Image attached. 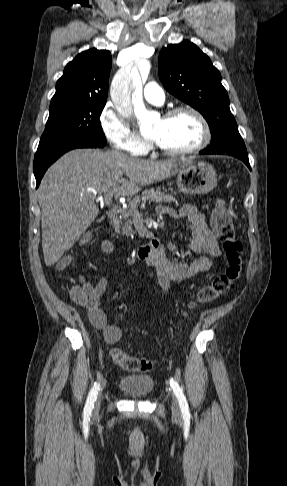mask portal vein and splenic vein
<instances>
[{"instance_id":"obj_1","label":"portal vein and splenic vein","mask_w":287,"mask_h":486,"mask_svg":"<svg viewBox=\"0 0 287 486\" xmlns=\"http://www.w3.org/2000/svg\"><path fill=\"white\" fill-rule=\"evenodd\" d=\"M112 197H113V192H112V191H108V192H106V193H105V195H104V198H103L104 203H105L106 205H111V204H112ZM99 200H100V199H97V201H99ZM136 213H137V212H136Z\"/></svg>"}]
</instances>
